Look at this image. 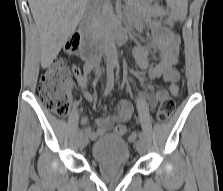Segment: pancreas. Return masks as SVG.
Returning <instances> with one entry per match:
<instances>
[{"instance_id": "pancreas-1", "label": "pancreas", "mask_w": 223, "mask_h": 191, "mask_svg": "<svg viewBox=\"0 0 223 191\" xmlns=\"http://www.w3.org/2000/svg\"><path fill=\"white\" fill-rule=\"evenodd\" d=\"M112 15V5L110 1L99 3L91 10V21L95 28L101 29L107 19Z\"/></svg>"}]
</instances>
